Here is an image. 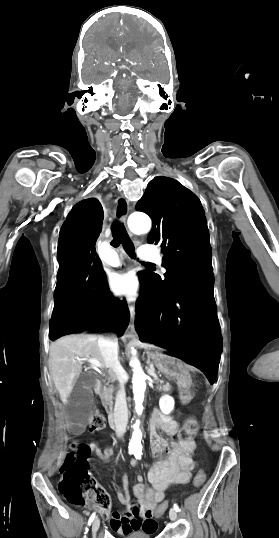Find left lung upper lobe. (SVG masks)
<instances>
[{
    "instance_id": "1",
    "label": "left lung upper lobe",
    "mask_w": 279,
    "mask_h": 538,
    "mask_svg": "<svg viewBox=\"0 0 279 538\" xmlns=\"http://www.w3.org/2000/svg\"><path fill=\"white\" fill-rule=\"evenodd\" d=\"M136 210L153 220L148 243L160 244L164 255L165 279L149 271L139 275L141 285H147L152 295L163 296L183 283L213 274L206 217L200 200L190 190L171 178L155 177Z\"/></svg>"
}]
</instances>
